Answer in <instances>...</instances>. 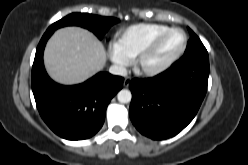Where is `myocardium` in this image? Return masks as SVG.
<instances>
[{"label":"myocardium","mask_w":248,"mask_h":165,"mask_svg":"<svg viewBox=\"0 0 248 165\" xmlns=\"http://www.w3.org/2000/svg\"><path fill=\"white\" fill-rule=\"evenodd\" d=\"M171 32H180L182 34L183 40L179 49L162 63L155 66L147 65L146 59L148 56L154 51L160 41ZM187 41V35L184 30L178 27H168L153 37L135 57L136 70L146 76H156L165 72L183 55L187 47Z\"/></svg>","instance_id":"obj_1"}]
</instances>
